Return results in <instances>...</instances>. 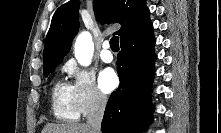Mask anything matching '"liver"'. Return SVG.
Wrapping results in <instances>:
<instances>
[{
    "instance_id": "6515ba94",
    "label": "liver",
    "mask_w": 221,
    "mask_h": 133,
    "mask_svg": "<svg viewBox=\"0 0 221 133\" xmlns=\"http://www.w3.org/2000/svg\"><path fill=\"white\" fill-rule=\"evenodd\" d=\"M42 133H90L86 124L67 123V124H47Z\"/></svg>"
}]
</instances>
